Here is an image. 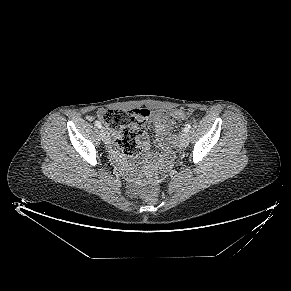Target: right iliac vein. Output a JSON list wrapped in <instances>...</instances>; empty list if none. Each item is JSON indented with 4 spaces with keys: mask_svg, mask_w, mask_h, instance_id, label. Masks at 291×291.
I'll use <instances>...</instances> for the list:
<instances>
[{
    "mask_svg": "<svg viewBox=\"0 0 291 291\" xmlns=\"http://www.w3.org/2000/svg\"><path fill=\"white\" fill-rule=\"evenodd\" d=\"M101 137H102V140L105 144H107V145L110 144V142H111L110 135L105 128L101 129Z\"/></svg>",
    "mask_w": 291,
    "mask_h": 291,
    "instance_id": "obj_1",
    "label": "right iliac vein"
}]
</instances>
